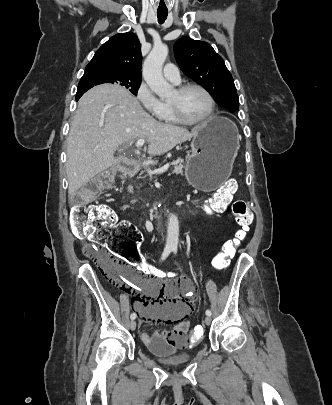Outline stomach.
<instances>
[{"label": "stomach", "mask_w": 332, "mask_h": 405, "mask_svg": "<svg viewBox=\"0 0 332 405\" xmlns=\"http://www.w3.org/2000/svg\"><path fill=\"white\" fill-rule=\"evenodd\" d=\"M239 140L237 127L225 117H211L200 125L186 164L189 183L208 191L223 185L231 175Z\"/></svg>", "instance_id": "stomach-1"}]
</instances>
